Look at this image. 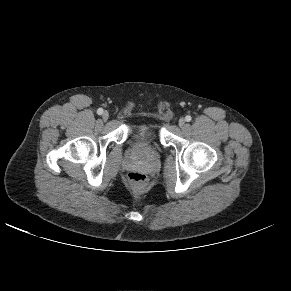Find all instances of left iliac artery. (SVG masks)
<instances>
[{"label": "left iliac artery", "mask_w": 291, "mask_h": 291, "mask_svg": "<svg viewBox=\"0 0 291 291\" xmlns=\"http://www.w3.org/2000/svg\"><path fill=\"white\" fill-rule=\"evenodd\" d=\"M191 116L190 115H187L186 117H185V120L187 121V122H190L191 121Z\"/></svg>", "instance_id": "44dca946"}]
</instances>
